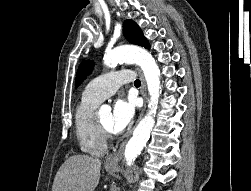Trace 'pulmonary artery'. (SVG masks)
<instances>
[{
  "label": "pulmonary artery",
  "mask_w": 251,
  "mask_h": 191,
  "mask_svg": "<svg viewBox=\"0 0 251 191\" xmlns=\"http://www.w3.org/2000/svg\"><path fill=\"white\" fill-rule=\"evenodd\" d=\"M133 68L112 71L94 79L83 91V96L88 99L105 100L113 95L118 88L133 80Z\"/></svg>",
  "instance_id": "1"
}]
</instances>
